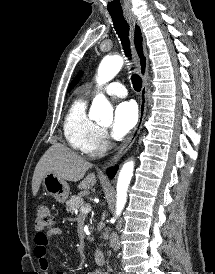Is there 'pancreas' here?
Masks as SVG:
<instances>
[{"label":"pancreas","instance_id":"pancreas-1","mask_svg":"<svg viewBox=\"0 0 215 274\" xmlns=\"http://www.w3.org/2000/svg\"><path fill=\"white\" fill-rule=\"evenodd\" d=\"M85 205L83 199L80 196H72L67 202H66V210L69 213H76L80 211V214L78 216L79 219L83 220L85 218V214L81 212V207ZM89 241H92L93 238H88Z\"/></svg>","mask_w":215,"mask_h":274}]
</instances>
